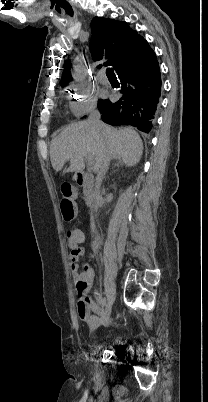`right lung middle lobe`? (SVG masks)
Listing matches in <instances>:
<instances>
[{
  "label": "right lung middle lobe",
  "mask_w": 208,
  "mask_h": 402,
  "mask_svg": "<svg viewBox=\"0 0 208 402\" xmlns=\"http://www.w3.org/2000/svg\"><path fill=\"white\" fill-rule=\"evenodd\" d=\"M108 102H109V100H99L98 101V107L105 106Z\"/></svg>",
  "instance_id": "dd1d6c3e"
}]
</instances>
